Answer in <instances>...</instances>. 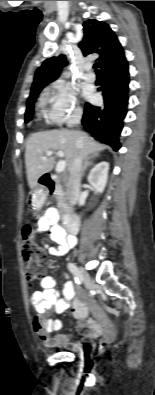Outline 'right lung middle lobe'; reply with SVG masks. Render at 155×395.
Masks as SVG:
<instances>
[{"mask_svg":"<svg viewBox=\"0 0 155 395\" xmlns=\"http://www.w3.org/2000/svg\"><path fill=\"white\" fill-rule=\"evenodd\" d=\"M40 91H38L36 94H34L33 96H31L30 98H28L27 101V110H26V122H28L29 120H31L32 115H33V104L35 102V98L36 96L39 94Z\"/></svg>","mask_w":155,"mask_h":395,"instance_id":"right-lung-middle-lobe-1","label":"right lung middle lobe"}]
</instances>
